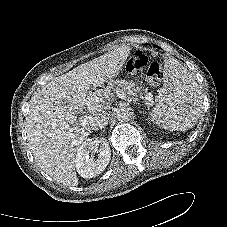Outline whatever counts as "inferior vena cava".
I'll return each mask as SVG.
<instances>
[{"mask_svg": "<svg viewBox=\"0 0 227 227\" xmlns=\"http://www.w3.org/2000/svg\"><path fill=\"white\" fill-rule=\"evenodd\" d=\"M109 117L105 111L98 113L92 117L90 126L93 130L97 131L104 128L108 124Z\"/></svg>", "mask_w": 227, "mask_h": 227, "instance_id": "602c4592", "label": "inferior vena cava"}]
</instances>
